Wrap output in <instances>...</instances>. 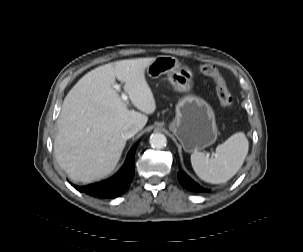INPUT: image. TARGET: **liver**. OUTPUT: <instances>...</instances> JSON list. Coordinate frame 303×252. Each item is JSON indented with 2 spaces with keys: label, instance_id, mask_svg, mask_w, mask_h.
Masks as SVG:
<instances>
[{
  "label": "liver",
  "instance_id": "1",
  "mask_svg": "<svg viewBox=\"0 0 303 252\" xmlns=\"http://www.w3.org/2000/svg\"><path fill=\"white\" fill-rule=\"evenodd\" d=\"M154 60L126 59L99 66L69 91L57 120L54 154L72 181L88 183L110 174L126 144L122 128L135 125L142 130L146 125V114L156 109L145 78V70ZM116 78L124 83L131 103L144 114L128 109L113 88Z\"/></svg>",
  "mask_w": 303,
  "mask_h": 252
}]
</instances>
